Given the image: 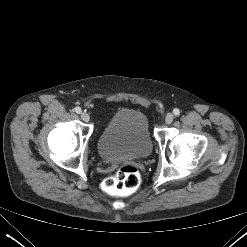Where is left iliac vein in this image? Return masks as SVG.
Listing matches in <instances>:
<instances>
[{
	"mask_svg": "<svg viewBox=\"0 0 247 247\" xmlns=\"http://www.w3.org/2000/svg\"><path fill=\"white\" fill-rule=\"evenodd\" d=\"M174 119V116L172 113H167L166 117H165V122L166 124H171L172 121Z\"/></svg>",
	"mask_w": 247,
	"mask_h": 247,
	"instance_id": "1",
	"label": "left iliac vein"
}]
</instances>
